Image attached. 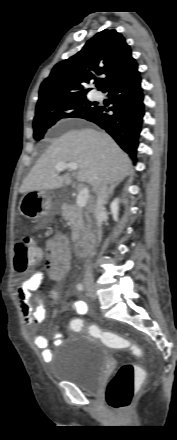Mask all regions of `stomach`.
Returning a JSON list of instances; mask_svg holds the SVG:
<instances>
[{"label":"stomach","mask_w":177,"mask_h":440,"mask_svg":"<svg viewBox=\"0 0 177 440\" xmlns=\"http://www.w3.org/2000/svg\"><path fill=\"white\" fill-rule=\"evenodd\" d=\"M19 211L28 219L46 224L58 213V205L45 190L29 191L21 198Z\"/></svg>","instance_id":"0dacf381"}]
</instances>
